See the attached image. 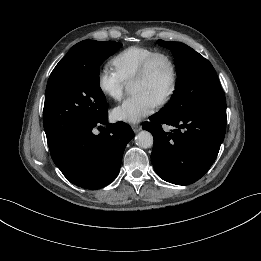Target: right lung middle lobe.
Here are the masks:
<instances>
[{
	"label": "right lung middle lobe",
	"mask_w": 261,
	"mask_h": 261,
	"mask_svg": "<svg viewBox=\"0 0 261 261\" xmlns=\"http://www.w3.org/2000/svg\"><path fill=\"white\" fill-rule=\"evenodd\" d=\"M121 46L113 41L84 40L56 65L47 83L43 110L48 144L107 115L99 85V67Z\"/></svg>",
	"instance_id": "right-lung-middle-lobe-1"
}]
</instances>
